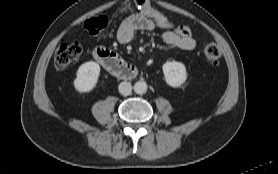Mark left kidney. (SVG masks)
Instances as JSON below:
<instances>
[{
    "label": "left kidney",
    "instance_id": "obj_1",
    "mask_svg": "<svg viewBox=\"0 0 278 174\" xmlns=\"http://www.w3.org/2000/svg\"><path fill=\"white\" fill-rule=\"evenodd\" d=\"M162 68L166 83L173 88L180 87L187 79L186 68L181 62L168 61Z\"/></svg>",
    "mask_w": 278,
    "mask_h": 174
}]
</instances>
